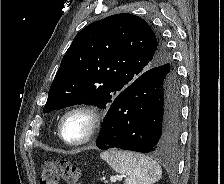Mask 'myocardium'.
Wrapping results in <instances>:
<instances>
[{
    "label": "myocardium",
    "mask_w": 224,
    "mask_h": 184,
    "mask_svg": "<svg viewBox=\"0 0 224 184\" xmlns=\"http://www.w3.org/2000/svg\"><path fill=\"white\" fill-rule=\"evenodd\" d=\"M84 114L87 116L89 120V126L86 134L77 141H71L65 138L63 134V125L67 118H69L73 114ZM103 113L102 111L95 105L92 104H77L66 110L61 116L58 123V136L60 139L69 146L78 147L89 143L91 140L95 138L97 133L99 132L101 125L103 123Z\"/></svg>",
    "instance_id": "obj_1"
}]
</instances>
